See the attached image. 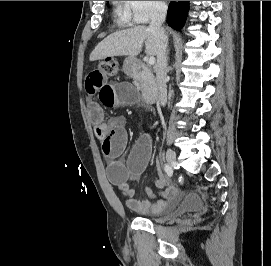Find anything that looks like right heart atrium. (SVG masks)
I'll return each instance as SVG.
<instances>
[{"instance_id":"obj_1","label":"right heart atrium","mask_w":271,"mask_h":266,"mask_svg":"<svg viewBox=\"0 0 271 266\" xmlns=\"http://www.w3.org/2000/svg\"><path fill=\"white\" fill-rule=\"evenodd\" d=\"M124 7L131 23L143 25L161 15L166 5L164 1H124Z\"/></svg>"}]
</instances>
